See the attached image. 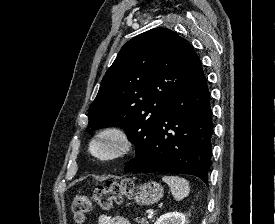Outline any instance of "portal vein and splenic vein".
<instances>
[{"instance_id": "18ae733b", "label": "portal vein and splenic vein", "mask_w": 275, "mask_h": 224, "mask_svg": "<svg viewBox=\"0 0 275 224\" xmlns=\"http://www.w3.org/2000/svg\"><path fill=\"white\" fill-rule=\"evenodd\" d=\"M148 219H151L152 217H153V213L152 212H149V214H148Z\"/></svg>"}]
</instances>
